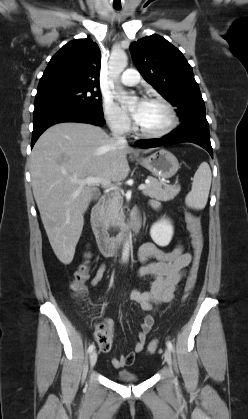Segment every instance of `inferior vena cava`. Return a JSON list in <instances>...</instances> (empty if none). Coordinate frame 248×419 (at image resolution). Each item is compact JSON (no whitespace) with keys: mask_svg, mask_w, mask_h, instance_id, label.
<instances>
[{"mask_svg":"<svg viewBox=\"0 0 248 419\" xmlns=\"http://www.w3.org/2000/svg\"><path fill=\"white\" fill-rule=\"evenodd\" d=\"M112 136L117 141V144L119 145H127V141L124 136H122V133L118 130L117 127H112Z\"/></svg>","mask_w":248,"mask_h":419,"instance_id":"obj_1","label":"inferior vena cava"}]
</instances>
